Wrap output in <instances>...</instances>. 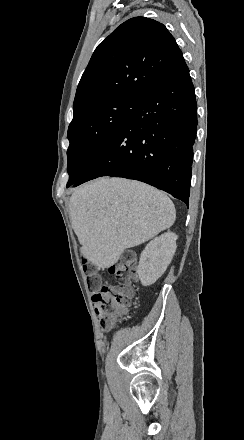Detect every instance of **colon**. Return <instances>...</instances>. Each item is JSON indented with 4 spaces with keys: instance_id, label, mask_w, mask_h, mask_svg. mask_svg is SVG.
<instances>
[{
    "instance_id": "5ec220e1",
    "label": "colon",
    "mask_w": 244,
    "mask_h": 440,
    "mask_svg": "<svg viewBox=\"0 0 244 440\" xmlns=\"http://www.w3.org/2000/svg\"><path fill=\"white\" fill-rule=\"evenodd\" d=\"M122 260L112 267V272L119 277L120 287L114 288L108 283L100 285V275H94L97 269L96 262H83L82 269L86 272V281L90 289L97 290L93 296L96 303V310L102 311L106 317L105 325L110 326L112 322L122 319L129 313L127 303L133 296L130 281L136 276L137 263L133 257L132 248H123L121 251ZM99 288V289H98Z\"/></svg>"
}]
</instances>
